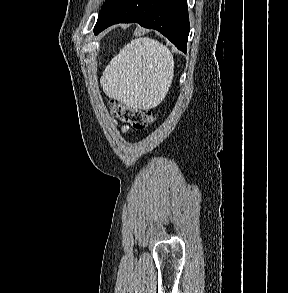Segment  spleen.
Returning a JSON list of instances; mask_svg holds the SVG:
<instances>
[{"mask_svg": "<svg viewBox=\"0 0 288 293\" xmlns=\"http://www.w3.org/2000/svg\"><path fill=\"white\" fill-rule=\"evenodd\" d=\"M174 76V60L162 43L142 37L125 45L105 68L100 83L104 93L134 108L157 106Z\"/></svg>", "mask_w": 288, "mask_h": 293, "instance_id": "spleen-1", "label": "spleen"}]
</instances>
